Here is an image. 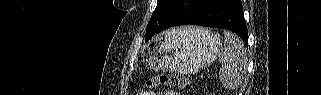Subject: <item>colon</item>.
Returning <instances> with one entry per match:
<instances>
[{"label": "colon", "instance_id": "colon-1", "mask_svg": "<svg viewBox=\"0 0 321 95\" xmlns=\"http://www.w3.org/2000/svg\"><path fill=\"white\" fill-rule=\"evenodd\" d=\"M190 84L187 77L180 74H158L150 77L146 81V85L149 87H159V86H174L184 88Z\"/></svg>", "mask_w": 321, "mask_h": 95}]
</instances>
